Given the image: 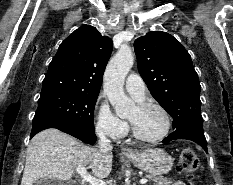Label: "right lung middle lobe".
Masks as SVG:
<instances>
[{
  "mask_svg": "<svg viewBox=\"0 0 233 185\" xmlns=\"http://www.w3.org/2000/svg\"><path fill=\"white\" fill-rule=\"evenodd\" d=\"M99 93L42 91L31 137L46 128H76L94 132L93 113Z\"/></svg>",
  "mask_w": 233,
  "mask_h": 185,
  "instance_id": "dd1d6c3e",
  "label": "right lung middle lobe"
}]
</instances>
